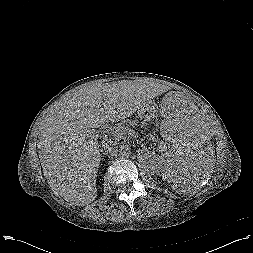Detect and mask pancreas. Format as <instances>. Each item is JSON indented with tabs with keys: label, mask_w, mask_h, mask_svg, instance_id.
Here are the masks:
<instances>
[{
	"label": "pancreas",
	"mask_w": 253,
	"mask_h": 253,
	"mask_svg": "<svg viewBox=\"0 0 253 253\" xmlns=\"http://www.w3.org/2000/svg\"><path fill=\"white\" fill-rule=\"evenodd\" d=\"M130 125L132 126L135 125V122H130ZM130 131L131 130L128 127H126L124 123H120L117 126L113 128H108L106 130L108 135L114 138L115 140L128 136L130 134Z\"/></svg>",
	"instance_id": "obj_1"
}]
</instances>
